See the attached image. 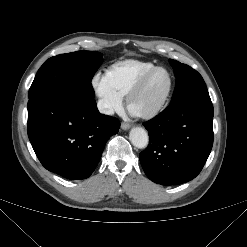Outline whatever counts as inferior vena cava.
Wrapping results in <instances>:
<instances>
[{
    "label": "inferior vena cava",
    "mask_w": 247,
    "mask_h": 247,
    "mask_svg": "<svg viewBox=\"0 0 247 247\" xmlns=\"http://www.w3.org/2000/svg\"><path fill=\"white\" fill-rule=\"evenodd\" d=\"M97 107L100 113L102 114H106V115L114 114V109L112 108V106L104 100H99L97 103Z\"/></svg>",
    "instance_id": "obj_1"
}]
</instances>
